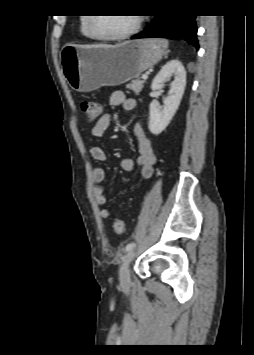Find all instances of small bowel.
<instances>
[{
  "instance_id": "1",
  "label": "small bowel",
  "mask_w": 254,
  "mask_h": 355,
  "mask_svg": "<svg viewBox=\"0 0 254 355\" xmlns=\"http://www.w3.org/2000/svg\"><path fill=\"white\" fill-rule=\"evenodd\" d=\"M110 103L114 106H123L127 111H133L137 103L132 98H127L122 91H114L110 96ZM110 115L104 114L90 130V136L96 140L100 138L110 124ZM133 134L138 142L139 153L136 157H124L120 161V166L124 171H132L136 165L140 167L141 176L148 180L154 173L156 164V154L149 137L146 135L141 124L136 123L133 126ZM91 155L97 161H106L107 155L97 144L91 146ZM106 170L102 167L92 169V180L95 183H101L106 179ZM93 196L98 205H105L108 201L105 189L100 185H95L92 189ZM99 215L102 219H109L111 214L107 209H101Z\"/></svg>"
}]
</instances>
